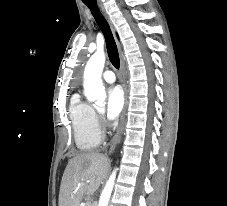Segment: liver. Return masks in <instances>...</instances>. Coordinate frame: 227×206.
<instances>
[{
  "mask_svg": "<svg viewBox=\"0 0 227 206\" xmlns=\"http://www.w3.org/2000/svg\"><path fill=\"white\" fill-rule=\"evenodd\" d=\"M109 160L101 153L88 152L75 155L64 171L59 206H79L84 196L92 195L106 177Z\"/></svg>",
  "mask_w": 227,
  "mask_h": 206,
  "instance_id": "obj_1",
  "label": "liver"
}]
</instances>
